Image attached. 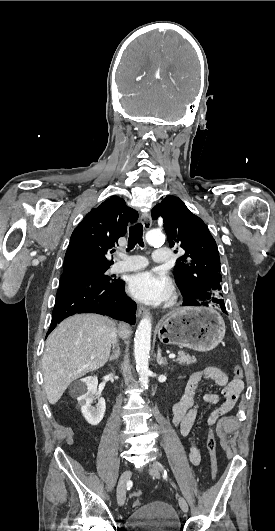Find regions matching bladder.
<instances>
[{"mask_svg": "<svg viewBox=\"0 0 275 531\" xmlns=\"http://www.w3.org/2000/svg\"><path fill=\"white\" fill-rule=\"evenodd\" d=\"M127 524L132 531H181L174 508L165 501H155L137 507L129 516Z\"/></svg>", "mask_w": 275, "mask_h": 531, "instance_id": "bladder-1", "label": "bladder"}]
</instances>
